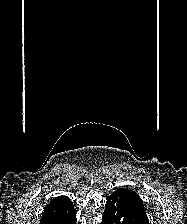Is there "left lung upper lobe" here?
I'll list each match as a JSON object with an SVG mask.
<instances>
[{
  "mask_svg": "<svg viewBox=\"0 0 187 224\" xmlns=\"http://www.w3.org/2000/svg\"><path fill=\"white\" fill-rule=\"evenodd\" d=\"M120 189L123 190L125 193H127V195L133 199V201L138 207H140L143 211H145L143 200L139 197V195L136 192L125 189V188H120Z\"/></svg>",
  "mask_w": 187,
  "mask_h": 224,
  "instance_id": "5c2ea615",
  "label": "left lung upper lobe"
}]
</instances>
